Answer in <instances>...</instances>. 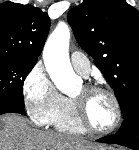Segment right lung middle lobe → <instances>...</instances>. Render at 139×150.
Masks as SVG:
<instances>
[{"instance_id": "right-lung-middle-lobe-1", "label": "right lung middle lobe", "mask_w": 139, "mask_h": 150, "mask_svg": "<svg viewBox=\"0 0 139 150\" xmlns=\"http://www.w3.org/2000/svg\"><path fill=\"white\" fill-rule=\"evenodd\" d=\"M36 61L0 54V101L24 107L23 83Z\"/></svg>"}]
</instances>
